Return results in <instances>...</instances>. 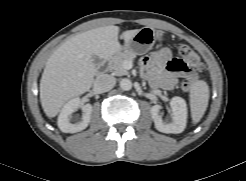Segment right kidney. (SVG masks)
Returning a JSON list of instances; mask_svg holds the SVG:
<instances>
[{"instance_id": "obj_1", "label": "right kidney", "mask_w": 246, "mask_h": 181, "mask_svg": "<svg viewBox=\"0 0 246 181\" xmlns=\"http://www.w3.org/2000/svg\"><path fill=\"white\" fill-rule=\"evenodd\" d=\"M80 108V99L73 98L68 101L60 111L58 116V127L64 133H76L87 128L92 114V105L86 104L82 107V119L74 124L70 123V116L72 113Z\"/></svg>"}]
</instances>
